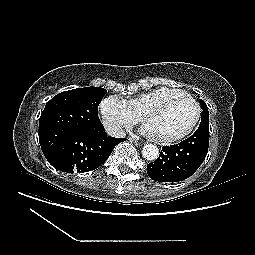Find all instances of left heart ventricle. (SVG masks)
<instances>
[{
	"mask_svg": "<svg viewBox=\"0 0 255 255\" xmlns=\"http://www.w3.org/2000/svg\"><path fill=\"white\" fill-rule=\"evenodd\" d=\"M194 117V105L185 98L175 97L151 112L144 123L154 136H171L186 130Z\"/></svg>",
	"mask_w": 255,
	"mask_h": 255,
	"instance_id": "b2bd125f",
	"label": "left heart ventricle"
}]
</instances>
